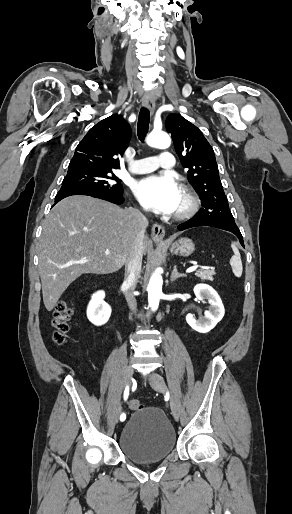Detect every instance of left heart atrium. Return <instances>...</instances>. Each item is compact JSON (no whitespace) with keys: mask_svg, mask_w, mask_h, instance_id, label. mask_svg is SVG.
<instances>
[{"mask_svg":"<svg viewBox=\"0 0 292 514\" xmlns=\"http://www.w3.org/2000/svg\"><path fill=\"white\" fill-rule=\"evenodd\" d=\"M134 193L144 208L157 213L176 211L181 198V189L176 179L166 173L140 180Z\"/></svg>","mask_w":292,"mask_h":514,"instance_id":"39dd6f15","label":"left heart atrium"}]
</instances>
